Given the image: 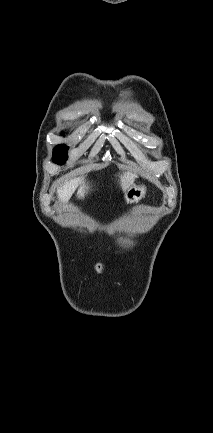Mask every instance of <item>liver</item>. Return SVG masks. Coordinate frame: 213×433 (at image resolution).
<instances>
[{
  "label": "liver",
  "instance_id": "obj_1",
  "mask_svg": "<svg viewBox=\"0 0 213 433\" xmlns=\"http://www.w3.org/2000/svg\"><path fill=\"white\" fill-rule=\"evenodd\" d=\"M135 175L132 173H124L120 177V186L123 191H125L130 185L134 182ZM80 185L77 196L78 198H84L85 194L89 190L88 184L85 183L84 177H79L66 182L62 187H60L57 191L59 201L62 203H66L72 196L73 192Z\"/></svg>",
  "mask_w": 213,
  "mask_h": 433
}]
</instances>
